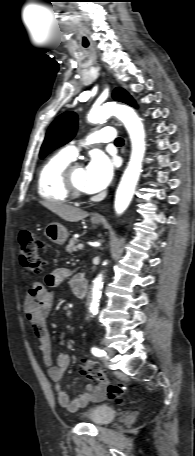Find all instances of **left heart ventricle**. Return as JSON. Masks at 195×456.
Instances as JSON below:
<instances>
[{
	"mask_svg": "<svg viewBox=\"0 0 195 456\" xmlns=\"http://www.w3.org/2000/svg\"><path fill=\"white\" fill-rule=\"evenodd\" d=\"M84 181L85 169L83 167L76 168L73 172V182L78 188L86 191L84 187Z\"/></svg>",
	"mask_w": 195,
	"mask_h": 456,
	"instance_id": "left-heart-ventricle-1",
	"label": "left heart ventricle"
}]
</instances>
